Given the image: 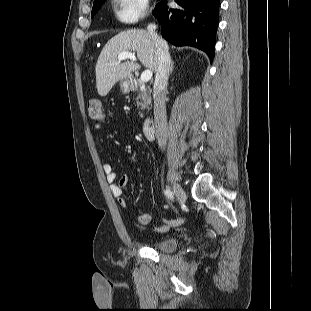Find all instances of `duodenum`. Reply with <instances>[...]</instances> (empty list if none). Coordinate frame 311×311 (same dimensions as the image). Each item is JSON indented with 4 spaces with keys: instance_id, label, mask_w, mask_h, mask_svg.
Wrapping results in <instances>:
<instances>
[{
    "instance_id": "obj_1",
    "label": "duodenum",
    "mask_w": 311,
    "mask_h": 311,
    "mask_svg": "<svg viewBox=\"0 0 311 311\" xmlns=\"http://www.w3.org/2000/svg\"><path fill=\"white\" fill-rule=\"evenodd\" d=\"M143 134L147 139H152L155 134V120L153 117H148L143 125Z\"/></svg>"
}]
</instances>
